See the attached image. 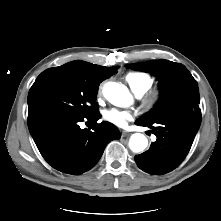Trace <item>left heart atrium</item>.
I'll use <instances>...</instances> for the list:
<instances>
[{
	"label": "left heart atrium",
	"mask_w": 221,
	"mask_h": 221,
	"mask_svg": "<svg viewBox=\"0 0 221 221\" xmlns=\"http://www.w3.org/2000/svg\"><path fill=\"white\" fill-rule=\"evenodd\" d=\"M104 119L118 127H124L132 119V114L128 111L109 109L105 111Z\"/></svg>",
	"instance_id": "1"
}]
</instances>
